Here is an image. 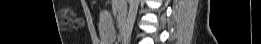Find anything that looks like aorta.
<instances>
[{
	"label": "aorta",
	"instance_id": "1",
	"mask_svg": "<svg viewBox=\"0 0 261 44\" xmlns=\"http://www.w3.org/2000/svg\"><path fill=\"white\" fill-rule=\"evenodd\" d=\"M140 0H129V10L125 25L124 41L129 42L134 27Z\"/></svg>",
	"mask_w": 261,
	"mask_h": 44
}]
</instances>
